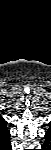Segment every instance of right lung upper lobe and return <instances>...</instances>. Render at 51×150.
<instances>
[{
	"label": "right lung upper lobe",
	"instance_id": "right-lung-upper-lobe-1",
	"mask_svg": "<svg viewBox=\"0 0 51 150\" xmlns=\"http://www.w3.org/2000/svg\"><path fill=\"white\" fill-rule=\"evenodd\" d=\"M10 142V132L6 127V121L0 117V147L3 149Z\"/></svg>",
	"mask_w": 51,
	"mask_h": 150
}]
</instances>
